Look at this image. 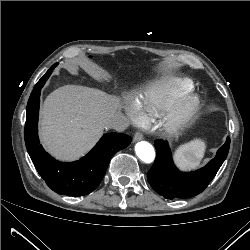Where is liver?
<instances>
[{"instance_id":"obj_1","label":"liver","mask_w":250,"mask_h":250,"mask_svg":"<svg viewBox=\"0 0 250 250\" xmlns=\"http://www.w3.org/2000/svg\"><path fill=\"white\" fill-rule=\"evenodd\" d=\"M119 99L101 90L65 85L50 93L41 110L40 138L61 160H73L98 141L108 118L117 114Z\"/></svg>"}]
</instances>
